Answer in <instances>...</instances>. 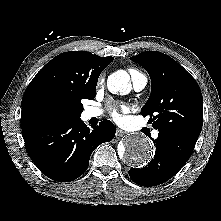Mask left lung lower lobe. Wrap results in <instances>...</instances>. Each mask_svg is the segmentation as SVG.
<instances>
[{
    "label": "left lung lower lobe",
    "instance_id": "1",
    "mask_svg": "<svg viewBox=\"0 0 221 221\" xmlns=\"http://www.w3.org/2000/svg\"><path fill=\"white\" fill-rule=\"evenodd\" d=\"M153 142L154 159L144 168L129 171L131 179L141 186H156L172 178L188 161L197 141L172 132H159Z\"/></svg>",
    "mask_w": 221,
    "mask_h": 221
}]
</instances>
